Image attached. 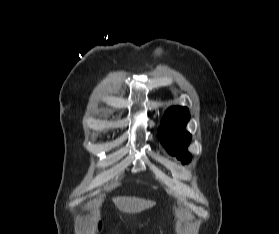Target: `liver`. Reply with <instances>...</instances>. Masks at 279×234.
Masks as SVG:
<instances>
[{
  "instance_id": "1",
  "label": "liver",
  "mask_w": 279,
  "mask_h": 234,
  "mask_svg": "<svg viewBox=\"0 0 279 234\" xmlns=\"http://www.w3.org/2000/svg\"><path fill=\"white\" fill-rule=\"evenodd\" d=\"M113 202L120 211L129 214L139 213L156 204L154 201L137 197H116Z\"/></svg>"
}]
</instances>
